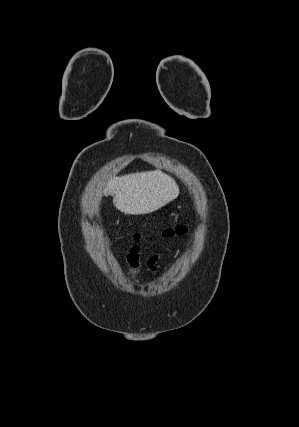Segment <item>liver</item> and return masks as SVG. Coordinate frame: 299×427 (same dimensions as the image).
<instances>
[{"mask_svg": "<svg viewBox=\"0 0 299 427\" xmlns=\"http://www.w3.org/2000/svg\"><path fill=\"white\" fill-rule=\"evenodd\" d=\"M113 195L114 206L125 214H148L176 199L175 180L159 170L114 177L104 190Z\"/></svg>", "mask_w": 299, "mask_h": 427, "instance_id": "obj_1", "label": "liver"}]
</instances>
